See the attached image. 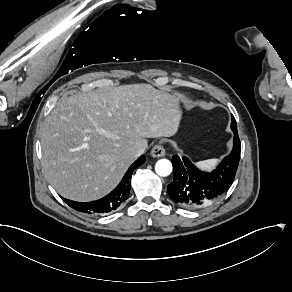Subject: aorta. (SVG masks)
<instances>
[{
  "label": "aorta",
  "mask_w": 292,
  "mask_h": 292,
  "mask_svg": "<svg viewBox=\"0 0 292 292\" xmlns=\"http://www.w3.org/2000/svg\"><path fill=\"white\" fill-rule=\"evenodd\" d=\"M155 170L160 176H168L172 172V164L167 159H161L156 163Z\"/></svg>",
  "instance_id": "762f6f07"
}]
</instances>
